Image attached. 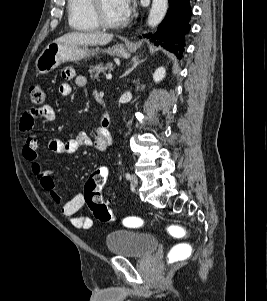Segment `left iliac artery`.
Masks as SVG:
<instances>
[{
  "label": "left iliac artery",
  "mask_w": 267,
  "mask_h": 301,
  "mask_svg": "<svg viewBox=\"0 0 267 301\" xmlns=\"http://www.w3.org/2000/svg\"><path fill=\"white\" fill-rule=\"evenodd\" d=\"M125 177H126L127 180H130V179H131V175H130L129 173H126V176H125Z\"/></svg>",
  "instance_id": "left-iliac-artery-1"
}]
</instances>
